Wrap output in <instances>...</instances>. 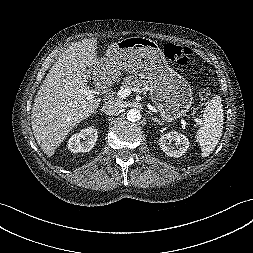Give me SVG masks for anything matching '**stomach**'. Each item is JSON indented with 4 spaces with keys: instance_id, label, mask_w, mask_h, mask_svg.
<instances>
[{
    "instance_id": "stomach-1",
    "label": "stomach",
    "mask_w": 253,
    "mask_h": 253,
    "mask_svg": "<svg viewBox=\"0 0 253 253\" xmlns=\"http://www.w3.org/2000/svg\"><path fill=\"white\" fill-rule=\"evenodd\" d=\"M98 74L117 76L120 71L139 74L149 80L150 95L161 120L173 122L185 114L193 102L189 83L166 62L157 42L145 37H129L112 44Z\"/></svg>"
}]
</instances>
